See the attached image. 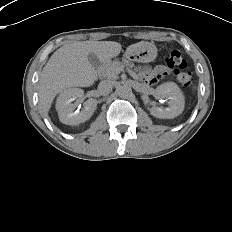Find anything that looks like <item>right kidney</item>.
I'll return each instance as SVG.
<instances>
[{
    "label": "right kidney",
    "mask_w": 232,
    "mask_h": 232,
    "mask_svg": "<svg viewBox=\"0 0 232 232\" xmlns=\"http://www.w3.org/2000/svg\"><path fill=\"white\" fill-rule=\"evenodd\" d=\"M84 91L79 88H69L63 90L56 100V110L60 121L66 125H78L90 119L97 108L95 99H88L84 102L82 111L75 110L76 104H73L75 99L82 98Z\"/></svg>",
    "instance_id": "ca27d5eb"
}]
</instances>
